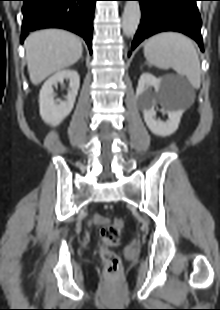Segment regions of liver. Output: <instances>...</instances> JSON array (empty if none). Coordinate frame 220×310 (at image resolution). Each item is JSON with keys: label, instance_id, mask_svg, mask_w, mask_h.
Listing matches in <instances>:
<instances>
[{"label": "liver", "instance_id": "1", "mask_svg": "<svg viewBox=\"0 0 220 310\" xmlns=\"http://www.w3.org/2000/svg\"><path fill=\"white\" fill-rule=\"evenodd\" d=\"M24 46L29 77L34 85L76 63L83 52L80 39L60 29L32 33L25 40Z\"/></svg>", "mask_w": 220, "mask_h": 310}]
</instances>
